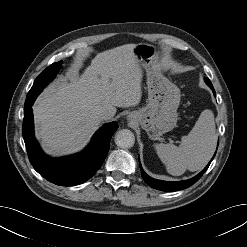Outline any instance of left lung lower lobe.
Returning <instances> with one entry per match:
<instances>
[{
	"instance_id": "0a47b994",
	"label": "left lung lower lobe",
	"mask_w": 247,
	"mask_h": 247,
	"mask_svg": "<svg viewBox=\"0 0 247 247\" xmlns=\"http://www.w3.org/2000/svg\"><path fill=\"white\" fill-rule=\"evenodd\" d=\"M205 82L213 90V93L215 95V91H214V88L212 86V83L209 82L206 78H205ZM214 156H215V154H214ZM212 160H213V158L208 163V165L204 168V170L201 171L197 176H195V177H193L191 179L184 180V181H179V182H167V181H160V180L153 179V178L149 177L143 171L141 164H140V168H141L142 178L152 188L158 189V190H162V191H178V190H182V189L188 188L191 185H193L195 182H197L200 179V177L204 174V172L207 170V168L209 167V165L212 162Z\"/></svg>"
}]
</instances>
